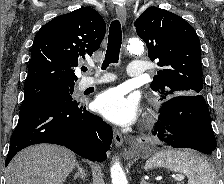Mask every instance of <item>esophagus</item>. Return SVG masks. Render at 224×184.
<instances>
[{"label":"esophagus","instance_id":"34e87169","mask_svg":"<svg viewBox=\"0 0 224 184\" xmlns=\"http://www.w3.org/2000/svg\"><path fill=\"white\" fill-rule=\"evenodd\" d=\"M116 14L118 19L120 20V22L122 24H125L126 22V18H127V11H126V7L125 6H117L116 7ZM113 137H114V143L117 147L122 146L123 144V136L121 134V132L114 128L113 129Z\"/></svg>","mask_w":224,"mask_h":184}]
</instances>
